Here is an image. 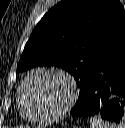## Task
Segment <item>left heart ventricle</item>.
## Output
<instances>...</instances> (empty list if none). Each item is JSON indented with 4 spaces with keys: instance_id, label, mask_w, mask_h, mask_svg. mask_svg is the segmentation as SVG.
<instances>
[{
    "instance_id": "b2bd125f",
    "label": "left heart ventricle",
    "mask_w": 125,
    "mask_h": 128,
    "mask_svg": "<svg viewBox=\"0 0 125 128\" xmlns=\"http://www.w3.org/2000/svg\"><path fill=\"white\" fill-rule=\"evenodd\" d=\"M69 95L64 79L51 73H40L28 83L24 98L26 109L32 114H48L59 109Z\"/></svg>"
}]
</instances>
